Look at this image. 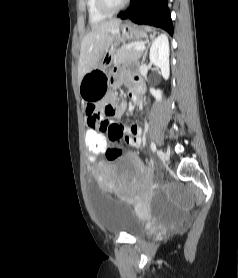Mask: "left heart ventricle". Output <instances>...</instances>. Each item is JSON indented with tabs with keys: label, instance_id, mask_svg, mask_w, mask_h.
<instances>
[{
	"label": "left heart ventricle",
	"instance_id": "obj_1",
	"mask_svg": "<svg viewBox=\"0 0 238 278\" xmlns=\"http://www.w3.org/2000/svg\"><path fill=\"white\" fill-rule=\"evenodd\" d=\"M113 5H117L120 2H122L123 0H109Z\"/></svg>",
	"mask_w": 238,
	"mask_h": 278
}]
</instances>
